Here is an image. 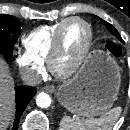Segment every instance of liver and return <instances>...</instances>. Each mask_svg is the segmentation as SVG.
Listing matches in <instances>:
<instances>
[{
    "label": "liver",
    "mask_w": 130,
    "mask_h": 130,
    "mask_svg": "<svg viewBox=\"0 0 130 130\" xmlns=\"http://www.w3.org/2000/svg\"><path fill=\"white\" fill-rule=\"evenodd\" d=\"M14 113V82L7 63L0 57V130H6Z\"/></svg>",
    "instance_id": "1"
}]
</instances>
